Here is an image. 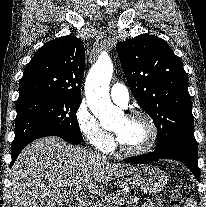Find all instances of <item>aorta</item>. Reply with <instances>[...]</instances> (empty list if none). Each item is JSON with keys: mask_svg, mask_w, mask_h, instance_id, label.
<instances>
[{"mask_svg": "<svg viewBox=\"0 0 206 207\" xmlns=\"http://www.w3.org/2000/svg\"><path fill=\"white\" fill-rule=\"evenodd\" d=\"M113 65L108 57H100L90 70L85 83V95L91 112L102 126L110 125L119 115L109 95Z\"/></svg>", "mask_w": 206, "mask_h": 207, "instance_id": "1", "label": "aorta"}]
</instances>
